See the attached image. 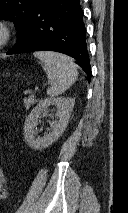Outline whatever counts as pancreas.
Wrapping results in <instances>:
<instances>
[{
    "instance_id": "cf45deb5",
    "label": "pancreas",
    "mask_w": 128,
    "mask_h": 213,
    "mask_svg": "<svg viewBox=\"0 0 128 213\" xmlns=\"http://www.w3.org/2000/svg\"><path fill=\"white\" fill-rule=\"evenodd\" d=\"M36 102H37V100L34 99L33 96H30L29 98H25V99L23 100L24 107H25L26 109H29V108H30L33 104H35Z\"/></svg>"
}]
</instances>
